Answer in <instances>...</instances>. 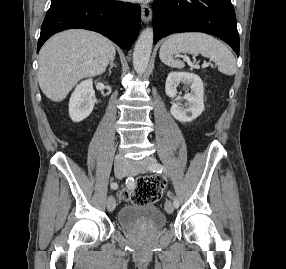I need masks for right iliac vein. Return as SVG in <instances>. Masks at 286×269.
<instances>
[{
  "label": "right iliac vein",
  "mask_w": 286,
  "mask_h": 269,
  "mask_svg": "<svg viewBox=\"0 0 286 269\" xmlns=\"http://www.w3.org/2000/svg\"><path fill=\"white\" fill-rule=\"evenodd\" d=\"M128 171H129V167L126 164L124 163L117 164L115 167V176L118 179H121L128 173ZM106 204H107L108 211L112 212L116 206L114 197L109 196Z\"/></svg>",
  "instance_id": "right-iliac-vein-1"
}]
</instances>
